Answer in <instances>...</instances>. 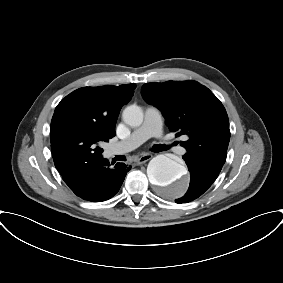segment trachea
<instances>
[{"mask_svg": "<svg viewBox=\"0 0 283 283\" xmlns=\"http://www.w3.org/2000/svg\"><path fill=\"white\" fill-rule=\"evenodd\" d=\"M155 149L157 150V152H161V151H166L168 147L166 145L158 144L155 145Z\"/></svg>", "mask_w": 283, "mask_h": 283, "instance_id": "obj_1", "label": "trachea"}]
</instances>
